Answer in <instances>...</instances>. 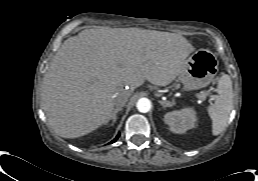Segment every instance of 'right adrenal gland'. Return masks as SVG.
<instances>
[{"instance_id":"obj_1","label":"right adrenal gland","mask_w":258,"mask_h":181,"mask_svg":"<svg viewBox=\"0 0 258 181\" xmlns=\"http://www.w3.org/2000/svg\"><path fill=\"white\" fill-rule=\"evenodd\" d=\"M122 109H123L122 107H117L116 109H114L113 115H112V117H111V119H112L111 126H113L114 123L116 122L117 113H118L119 111H122Z\"/></svg>"}]
</instances>
